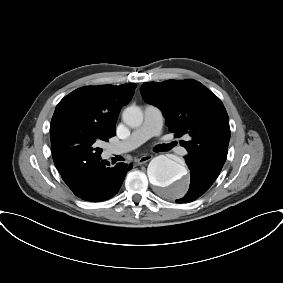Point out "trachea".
Segmentation results:
<instances>
[{
	"label": "trachea",
	"instance_id": "3493384b",
	"mask_svg": "<svg viewBox=\"0 0 283 283\" xmlns=\"http://www.w3.org/2000/svg\"><path fill=\"white\" fill-rule=\"evenodd\" d=\"M174 145H175L174 143L162 144V145H160L159 147H160V149H161L162 151H168V150H170L171 148H173Z\"/></svg>",
	"mask_w": 283,
	"mask_h": 283
}]
</instances>
